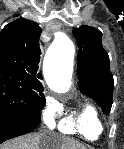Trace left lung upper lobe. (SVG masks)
<instances>
[{
    "label": "left lung upper lobe",
    "instance_id": "left-lung-upper-lobe-1",
    "mask_svg": "<svg viewBox=\"0 0 124 149\" xmlns=\"http://www.w3.org/2000/svg\"><path fill=\"white\" fill-rule=\"evenodd\" d=\"M79 49L78 87L81 93L95 99L104 113L112 106L114 81L110 72V60L102 47V32L90 26L73 29Z\"/></svg>",
    "mask_w": 124,
    "mask_h": 149
}]
</instances>
